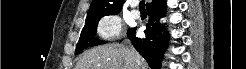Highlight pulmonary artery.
Here are the masks:
<instances>
[{
    "instance_id": "pulmonary-artery-1",
    "label": "pulmonary artery",
    "mask_w": 246,
    "mask_h": 69,
    "mask_svg": "<svg viewBox=\"0 0 246 69\" xmlns=\"http://www.w3.org/2000/svg\"><path fill=\"white\" fill-rule=\"evenodd\" d=\"M131 16H132L133 18H138V17L140 16V12L137 11V10H133V11L131 12Z\"/></svg>"
}]
</instances>
